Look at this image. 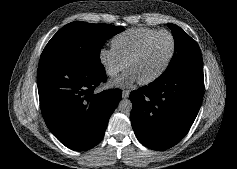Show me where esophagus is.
<instances>
[{"label":"esophagus","instance_id":"34e87169","mask_svg":"<svg viewBox=\"0 0 237 169\" xmlns=\"http://www.w3.org/2000/svg\"><path fill=\"white\" fill-rule=\"evenodd\" d=\"M130 95V91L129 90H123L122 91V98H128Z\"/></svg>","mask_w":237,"mask_h":169}]
</instances>
